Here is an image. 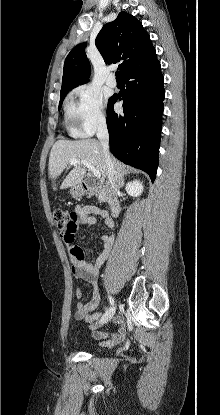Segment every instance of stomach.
Returning <instances> with one entry per match:
<instances>
[{
	"instance_id": "obj_1",
	"label": "stomach",
	"mask_w": 220,
	"mask_h": 415,
	"mask_svg": "<svg viewBox=\"0 0 220 415\" xmlns=\"http://www.w3.org/2000/svg\"><path fill=\"white\" fill-rule=\"evenodd\" d=\"M84 193H85V189L82 185H76V186L71 187L70 189V194L73 197H81L84 195Z\"/></svg>"
}]
</instances>
